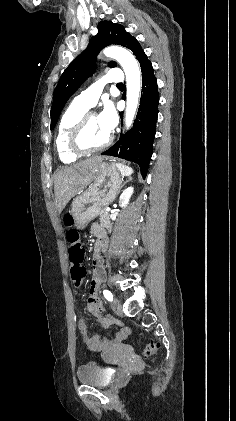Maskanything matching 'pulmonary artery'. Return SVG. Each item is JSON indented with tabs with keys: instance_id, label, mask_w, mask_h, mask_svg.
<instances>
[{
	"instance_id": "e3ab8cb5",
	"label": "pulmonary artery",
	"mask_w": 236,
	"mask_h": 421,
	"mask_svg": "<svg viewBox=\"0 0 236 421\" xmlns=\"http://www.w3.org/2000/svg\"><path fill=\"white\" fill-rule=\"evenodd\" d=\"M122 81L123 71L121 69H109L107 75L102 76L96 84L76 97L75 102L86 109L92 108L96 105L105 84L110 82L112 86H117Z\"/></svg>"
}]
</instances>
